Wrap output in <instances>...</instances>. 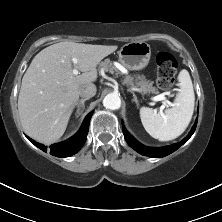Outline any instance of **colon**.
<instances>
[{
  "label": "colon",
  "instance_id": "obj_1",
  "mask_svg": "<svg viewBox=\"0 0 222 222\" xmlns=\"http://www.w3.org/2000/svg\"><path fill=\"white\" fill-rule=\"evenodd\" d=\"M156 66L157 86L163 91L172 90L178 68L176 58L167 52H160L156 56Z\"/></svg>",
  "mask_w": 222,
  "mask_h": 222
}]
</instances>
